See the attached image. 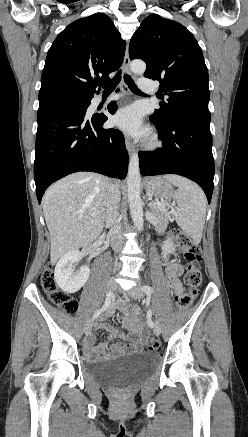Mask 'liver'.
Returning a JSON list of instances; mask_svg holds the SVG:
<instances>
[{
  "label": "liver",
  "instance_id": "obj_1",
  "mask_svg": "<svg viewBox=\"0 0 248 437\" xmlns=\"http://www.w3.org/2000/svg\"><path fill=\"white\" fill-rule=\"evenodd\" d=\"M108 182L104 176L78 172L59 180L45 192L42 208L51 236L52 264L99 237L105 222Z\"/></svg>",
  "mask_w": 248,
  "mask_h": 437
}]
</instances>
